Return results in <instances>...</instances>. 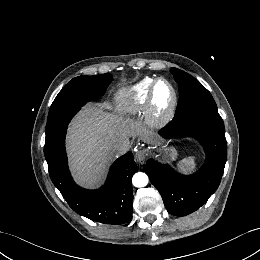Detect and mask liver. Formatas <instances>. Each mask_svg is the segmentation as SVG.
I'll return each instance as SVG.
<instances>
[{
	"label": "liver",
	"instance_id": "obj_1",
	"mask_svg": "<svg viewBox=\"0 0 260 260\" xmlns=\"http://www.w3.org/2000/svg\"><path fill=\"white\" fill-rule=\"evenodd\" d=\"M137 130L93 105H87L72 120L67 150L75 179L85 187L97 186L115 155L113 144L121 136H134ZM145 142L157 140L144 136Z\"/></svg>",
	"mask_w": 260,
	"mask_h": 260
}]
</instances>
